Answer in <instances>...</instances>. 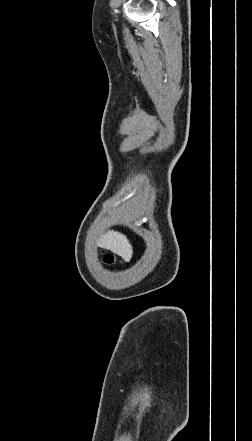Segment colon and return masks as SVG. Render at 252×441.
I'll return each instance as SVG.
<instances>
[{
	"label": "colon",
	"mask_w": 252,
	"mask_h": 441,
	"mask_svg": "<svg viewBox=\"0 0 252 441\" xmlns=\"http://www.w3.org/2000/svg\"><path fill=\"white\" fill-rule=\"evenodd\" d=\"M103 260L108 265H112V264H114L116 262L115 256L113 254H111V253H105L104 257H103Z\"/></svg>",
	"instance_id": "5ec220e1"
}]
</instances>
